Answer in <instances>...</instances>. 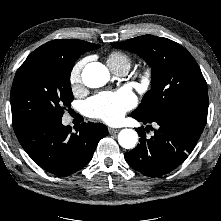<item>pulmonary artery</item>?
<instances>
[{"instance_id":"e3ab8cb5","label":"pulmonary artery","mask_w":221,"mask_h":221,"mask_svg":"<svg viewBox=\"0 0 221 221\" xmlns=\"http://www.w3.org/2000/svg\"><path fill=\"white\" fill-rule=\"evenodd\" d=\"M111 70L117 76H125L129 69L127 67L123 66V67H118V68L111 69Z\"/></svg>"}]
</instances>
